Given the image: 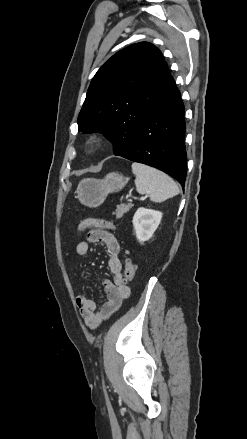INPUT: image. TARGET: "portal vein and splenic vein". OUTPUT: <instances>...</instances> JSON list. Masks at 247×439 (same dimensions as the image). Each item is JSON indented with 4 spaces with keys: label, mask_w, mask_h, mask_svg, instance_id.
I'll return each instance as SVG.
<instances>
[{
    "label": "portal vein and splenic vein",
    "mask_w": 247,
    "mask_h": 439,
    "mask_svg": "<svg viewBox=\"0 0 247 439\" xmlns=\"http://www.w3.org/2000/svg\"><path fill=\"white\" fill-rule=\"evenodd\" d=\"M147 197L145 196H142L141 198H140V200H145Z\"/></svg>",
    "instance_id": "portal-vein-and-splenic-vein-1"
}]
</instances>
